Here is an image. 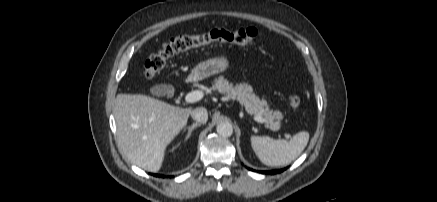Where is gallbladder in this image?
Here are the masks:
<instances>
[{
    "mask_svg": "<svg viewBox=\"0 0 437 202\" xmlns=\"http://www.w3.org/2000/svg\"><path fill=\"white\" fill-rule=\"evenodd\" d=\"M150 93L153 96L161 97L167 94V86L164 84H157L150 88Z\"/></svg>",
    "mask_w": 437,
    "mask_h": 202,
    "instance_id": "bac80fb5",
    "label": "gallbladder"
}]
</instances>
